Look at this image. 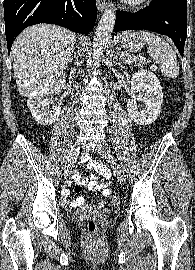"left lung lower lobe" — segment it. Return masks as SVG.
<instances>
[{
  "mask_svg": "<svg viewBox=\"0 0 195 270\" xmlns=\"http://www.w3.org/2000/svg\"><path fill=\"white\" fill-rule=\"evenodd\" d=\"M187 0H152L135 13L116 12L113 32L149 30L169 36L183 56L187 36Z\"/></svg>",
  "mask_w": 195,
  "mask_h": 270,
  "instance_id": "obj_1",
  "label": "left lung lower lobe"
}]
</instances>
